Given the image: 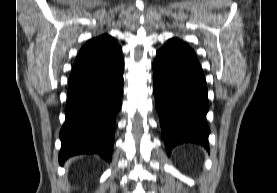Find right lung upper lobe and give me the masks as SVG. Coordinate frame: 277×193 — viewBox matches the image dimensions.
<instances>
[{
  "label": "right lung upper lobe",
  "instance_id": "obj_1",
  "mask_svg": "<svg viewBox=\"0 0 277 193\" xmlns=\"http://www.w3.org/2000/svg\"><path fill=\"white\" fill-rule=\"evenodd\" d=\"M119 48L115 39L109 35H102L89 40L79 51L73 68L82 67L99 62Z\"/></svg>",
  "mask_w": 277,
  "mask_h": 193
}]
</instances>
